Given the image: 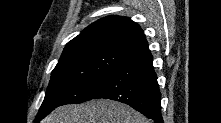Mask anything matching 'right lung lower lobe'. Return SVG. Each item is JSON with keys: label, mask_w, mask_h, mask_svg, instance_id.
<instances>
[{"label": "right lung lower lobe", "mask_w": 221, "mask_h": 123, "mask_svg": "<svg viewBox=\"0 0 221 123\" xmlns=\"http://www.w3.org/2000/svg\"><path fill=\"white\" fill-rule=\"evenodd\" d=\"M152 62L150 51L130 57L97 83L89 100L105 98L119 101L154 122L162 123L161 94Z\"/></svg>", "instance_id": "98d812e1"}]
</instances>
